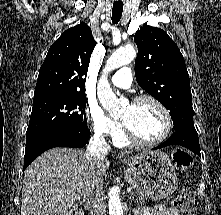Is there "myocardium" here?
<instances>
[{
    "mask_svg": "<svg viewBox=\"0 0 221 215\" xmlns=\"http://www.w3.org/2000/svg\"><path fill=\"white\" fill-rule=\"evenodd\" d=\"M143 101H150L153 104H155L159 110L161 111L163 118H164V130L162 132V134L155 140H144L139 138L138 136H136L130 129L129 127L125 124L124 121H122V128H123V133L125 138L137 145L140 146H146V147H153V146H157L161 143H163L170 135L171 129H172V118L170 115L169 110L167 109V107L156 97L152 96V95H140L138 97H136L132 104H136V103H140Z\"/></svg>",
    "mask_w": 221,
    "mask_h": 215,
    "instance_id": "f54148a6",
    "label": "myocardium"
}]
</instances>
